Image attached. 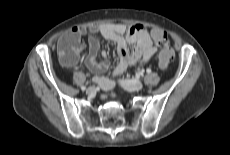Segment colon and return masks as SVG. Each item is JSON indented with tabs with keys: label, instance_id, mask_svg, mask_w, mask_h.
<instances>
[{
	"label": "colon",
	"instance_id": "obj_1",
	"mask_svg": "<svg viewBox=\"0 0 230 155\" xmlns=\"http://www.w3.org/2000/svg\"><path fill=\"white\" fill-rule=\"evenodd\" d=\"M154 40L163 46L160 53L159 66L161 69H166L169 62L172 60L174 51L171 46L164 45L168 38L167 33L161 29H156L152 32ZM80 39L77 36H69L59 43L58 56L60 60L66 64H72L76 60V49L79 46Z\"/></svg>",
	"mask_w": 230,
	"mask_h": 155
}]
</instances>
